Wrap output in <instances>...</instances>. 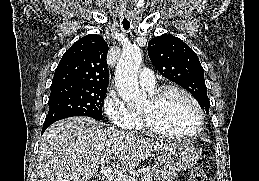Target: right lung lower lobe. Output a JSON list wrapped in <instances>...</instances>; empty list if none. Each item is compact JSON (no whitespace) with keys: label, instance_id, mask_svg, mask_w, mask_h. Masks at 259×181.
Returning <instances> with one entry per match:
<instances>
[{"label":"right lung lower lobe","instance_id":"1","mask_svg":"<svg viewBox=\"0 0 259 181\" xmlns=\"http://www.w3.org/2000/svg\"><path fill=\"white\" fill-rule=\"evenodd\" d=\"M47 127H48V126H43V128H42V133L46 130Z\"/></svg>","mask_w":259,"mask_h":181}]
</instances>
